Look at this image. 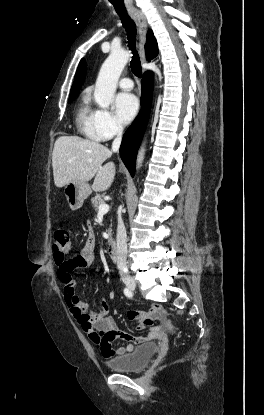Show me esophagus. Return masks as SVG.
<instances>
[{
    "instance_id": "34e87169",
    "label": "esophagus",
    "mask_w": 264,
    "mask_h": 415,
    "mask_svg": "<svg viewBox=\"0 0 264 415\" xmlns=\"http://www.w3.org/2000/svg\"><path fill=\"white\" fill-rule=\"evenodd\" d=\"M130 16L134 19L138 26L139 31V55L142 62H145V42L147 33V22L144 14L140 11L129 12Z\"/></svg>"
}]
</instances>
